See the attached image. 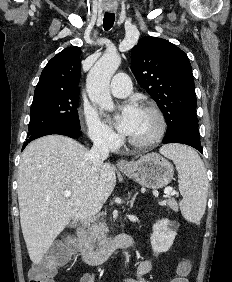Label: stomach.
<instances>
[{
	"instance_id": "0dacf381",
	"label": "stomach",
	"mask_w": 232,
	"mask_h": 282,
	"mask_svg": "<svg viewBox=\"0 0 232 282\" xmlns=\"http://www.w3.org/2000/svg\"><path fill=\"white\" fill-rule=\"evenodd\" d=\"M121 171L140 185L152 189L165 187L174 175L172 164L157 153L143 155L129 169Z\"/></svg>"
}]
</instances>
